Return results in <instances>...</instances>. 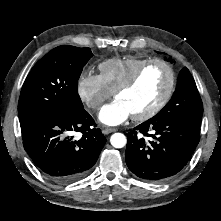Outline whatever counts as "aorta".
Listing matches in <instances>:
<instances>
[{"label":"aorta","instance_id":"obj_1","mask_svg":"<svg viewBox=\"0 0 221 221\" xmlns=\"http://www.w3.org/2000/svg\"><path fill=\"white\" fill-rule=\"evenodd\" d=\"M127 139L122 133H114L110 138V143L115 148H122L125 146Z\"/></svg>","mask_w":221,"mask_h":221}]
</instances>
